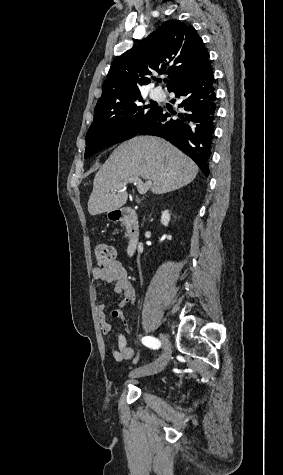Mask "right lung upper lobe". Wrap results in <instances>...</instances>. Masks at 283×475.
I'll list each match as a JSON object with an SVG mask.
<instances>
[{
    "label": "right lung upper lobe",
    "instance_id": "1",
    "mask_svg": "<svg viewBox=\"0 0 283 475\" xmlns=\"http://www.w3.org/2000/svg\"><path fill=\"white\" fill-rule=\"evenodd\" d=\"M137 43L112 62L95 108L139 96L138 85L150 83L149 76L156 72L168 75L169 90L178 82L211 68L202 39L192 26L180 21L163 23Z\"/></svg>",
    "mask_w": 283,
    "mask_h": 475
}]
</instances>
